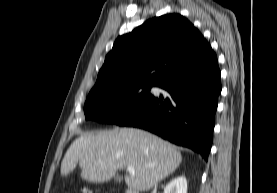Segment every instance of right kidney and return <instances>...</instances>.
<instances>
[{"mask_svg":"<svg viewBox=\"0 0 277 193\" xmlns=\"http://www.w3.org/2000/svg\"><path fill=\"white\" fill-rule=\"evenodd\" d=\"M164 193H187V180L185 176H179L169 182Z\"/></svg>","mask_w":277,"mask_h":193,"instance_id":"right-kidney-1","label":"right kidney"}]
</instances>
